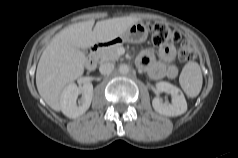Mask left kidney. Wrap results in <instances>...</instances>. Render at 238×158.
<instances>
[{
    "label": "left kidney",
    "instance_id": "left-kidney-1",
    "mask_svg": "<svg viewBox=\"0 0 238 158\" xmlns=\"http://www.w3.org/2000/svg\"><path fill=\"white\" fill-rule=\"evenodd\" d=\"M156 88L159 92H165L171 95L172 102L164 103L158 97L152 101L154 110L165 116H178L187 111V102L182 91L165 81L158 82Z\"/></svg>",
    "mask_w": 238,
    "mask_h": 158
}]
</instances>
